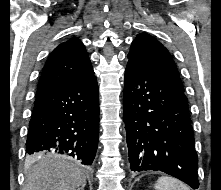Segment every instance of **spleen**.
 I'll list each match as a JSON object with an SVG mask.
<instances>
[{
	"instance_id": "3e777b00",
	"label": "spleen",
	"mask_w": 221,
	"mask_h": 190,
	"mask_svg": "<svg viewBox=\"0 0 221 190\" xmlns=\"http://www.w3.org/2000/svg\"><path fill=\"white\" fill-rule=\"evenodd\" d=\"M156 190H189V188L179 180L172 177H159L155 183Z\"/></svg>"
}]
</instances>
